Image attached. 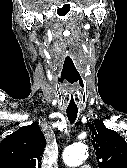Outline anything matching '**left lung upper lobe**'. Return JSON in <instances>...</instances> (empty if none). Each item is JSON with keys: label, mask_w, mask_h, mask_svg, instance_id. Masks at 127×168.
Here are the masks:
<instances>
[{"label": "left lung upper lobe", "mask_w": 127, "mask_h": 168, "mask_svg": "<svg viewBox=\"0 0 127 168\" xmlns=\"http://www.w3.org/2000/svg\"><path fill=\"white\" fill-rule=\"evenodd\" d=\"M90 133L99 168H127V143L116 131L96 119Z\"/></svg>", "instance_id": "5c2ea615"}]
</instances>
